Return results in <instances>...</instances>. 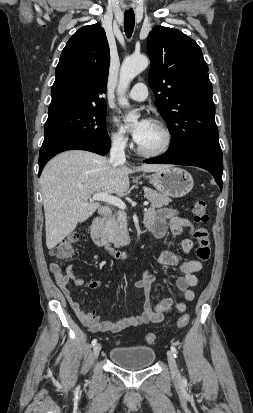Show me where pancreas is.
<instances>
[{"label":"pancreas","mask_w":253,"mask_h":413,"mask_svg":"<svg viewBox=\"0 0 253 413\" xmlns=\"http://www.w3.org/2000/svg\"><path fill=\"white\" fill-rule=\"evenodd\" d=\"M144 196L151 202L153 208H161L168 205L171 199L162 193L150 188H144ZM127 214L123 210L117 211L110 219L105 222V232L108 239L115 247L119 248L126 245L129 233L127 230Z\"/></svg>","instance_id":"obj_1"}]
</instances>
